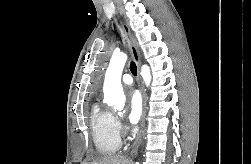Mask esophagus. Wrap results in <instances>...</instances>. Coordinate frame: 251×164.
I'll return each mask as SVG.
<instances>
[{
  "label": "esophagus",
  "mask_w": 251,
  "mask_h": 164,
  "mask_svg": "<svg viewBox=\"0 0 251 164\" xmlns=\"http://www.w3.org/2000/svg\"><path fill=\"white\" fill-rule=\"evenodd\" d=\"M121 25H122V29L128 39V43L130 46V50H131L133 59L137 65V74H138L137 77H138L139 89L141 92L142 102H143L142 116H141V120H140V129H139V132L136 136V139L132 145L131 153H130V156L134 157V156H136L138 149L141 145L142 137H143V133H144L145 116H146V99H145L144 88H143L141 77H140V64H141L140 52L138 50L137 44L135 42L134 36L131 32V29H130L128 23L125 20H122Z\"/></svg>",
  "instance_id": "esophagus-1"
}]
</instances>
